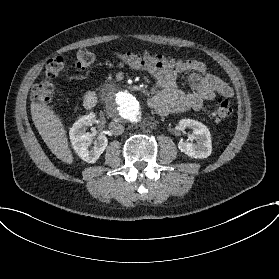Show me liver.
Returning <instances> with one entry per match:
<instances>
[{
	"instance_id": "liver-1",
	"label": "liver",
	"mask_w": 279,
	"mask_h": 279,
	"mask_svg": "<svg viewBox=\"0 0 279 279\" xmlns=\"http://www.w3.org/2000/svg\"><path fill=\"white\" fill-rule=\"evenodd\" d=\"M31 116L35 127L50 151L61 161L71 164L73 162L72 152L59 117L46 104L35 102L31 103Z\"/></svg>"
}]
</instances>
